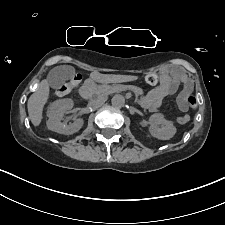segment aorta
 Here are the masks:
<instances>
[{
	"label": "aorta",
	"instance_id": "obj_1",
	"mask_svg": "<svg viewBox=\"0 0 225 225\" xmlns=\"http://www.w3.org/2000/svg\"><path fill=\"white\" fill-rule=\"evenodd\" d=\"M111 104L115 108H122L125 104V97L121 94H116L112 97Z\"/></svg>",
	"mask_w": 225,
	"mask_h": 225
}]
</instances>
